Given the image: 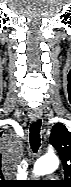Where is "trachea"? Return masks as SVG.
Returning a JSON list of instances; mask_svg holds the SVG:
<instances>
[{
	"label": "trachea",
	"instance_id": "1",
	"mask_svg": "<svg viewBox=\"0 0 71 187\" xmlns=\"http://www.w3.org/2000/svg\"><path fill=\"white\" fill-rule=\"evenodd\" d=\"M40 127H41V120H37L33 122L30 126V135H29L30 145H31L33 152L35 153L38 151L41 145Z\"/></svg>",
	"mask_w": 71,
	"mask_h": 187
}]
</instances>
